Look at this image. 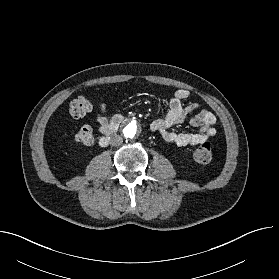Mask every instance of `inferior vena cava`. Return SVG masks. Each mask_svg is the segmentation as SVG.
<instances>
[{
  "label": "inferior vena cava",
  "instance_id": "obj_1",
  "mask_svg": "<svg viewBox=\"0 0 279 279\" xmlns=\"http://www.w3.org/2000/svg\"><path fill=\"white\" fill-rule=\"evenodd\" d=\"M122 142H123V138L119 135H114L110 139V144L112 146H119L122 144Z\"/></svg>",
  "mask_w": 279,
  "mask_h": 279
}]
</instances>
